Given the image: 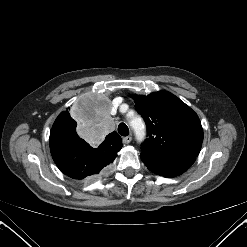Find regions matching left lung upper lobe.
Returning <instances> with one entry per match:
<instances>
[{
	"label": "left lung upper lobe",
	"instance_id": "left-lung-upper-lobe-1",
	"mask_svg": "<svg viewBox=\"0 0 247 247\" xmlns=\"http://www.w3.org/2000/svg\"><path fill=\"white\" fill-rule=\"evenodd\" d=\"M135 108L144 118L148 138L142 153L152 157L182 159L198 156L203 129L197 114L167 91L134 95Z\"/></svg>",
	"mask_w": 247,
	"mask_h": 247
}]
</instances>
